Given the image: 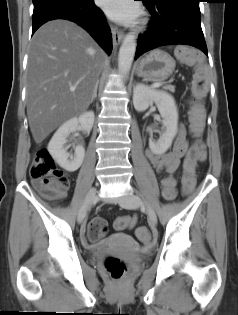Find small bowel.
Masks as SVG:
<instances>
[{
  "instance_id": "c3829d8e",
  "label": "small bowel",
  "mask_w": 238,
  "mask_h": 315,
  "mask_svg": "<svg viewBox=\"0 0 238 315\" xmlns=\"http://www.w3.org/2000/svg\"><path fill=\"white\" fill-rule=\"evenodd\" d=\"M184 156H186V159L183 165L182 185L184 188L185 182L190 181L192 183V189L195 183L196 166L199 162L205 159V150L202 145H189L185 133L182 131L176 139L171 151L162 155L156 154L152 151L147 152V157L152 166L158 172L165 171L167 173V175L161 180L162 195L167 200H172L176 196L177 182L175 174L180 167L181 158ZM129 223L130 227L135 226L137 223V217L130 219ZM149 243L150 239H142L144 247H148Z\"/></svg>"
}]
</instances>
